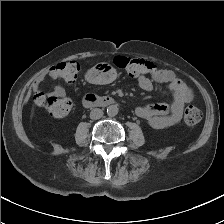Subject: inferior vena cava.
I'll use <instances>...</instances> for the list:
<instances>
[{
	"label": "inferior vena cava",
	"mask_w": 224,
	"mask_h": 224,
	"mask_svg": "<svg viewBox=\"0 0 224 224\" xmlns=\"http://www.w3.org/2000/svg\"><path fill=\"white\" fill-rule=\"evenodd\" d=\"M102 116H103V111L101 109L96 108L90 112V118L93 120L100 119Z\"/></svg>",
	"instance_id": "602c4592"
}]
</instances>
